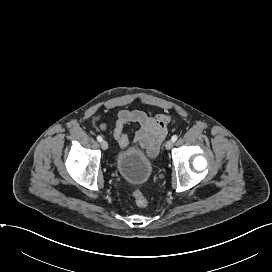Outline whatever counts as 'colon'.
<instances>
[{"mask_svg": "<svg viewBox=\"0 0 272 272\" xmlns=\"http://www.w3.org/2000/svg\"><path fill=\"white\" fill-rule=\"evenodd\" d=\"M133 198L138 207H145L148 204L146 196L140 190L134 191Z\"/></svg>", "mask_w": 272, "mask_h": 272, "instance_id": "5ec220e1", "label": "colon"}]
</instances>
